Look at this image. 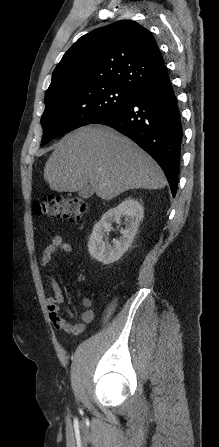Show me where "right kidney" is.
<instances>
[{
    "label": "right kidney",
    "instance_id": "ca27d5eb",
    "mask_svg": "<svg viewBox=\"0 0 219 447\" xmlns=\"http://www.w3.org/2000/svg\"><path fill=\"white\" fill-rule=\"evenodd\" d=\"M143 206L133 198H127L119 205L105 212L100 221L93 227L88 241V251L91 257L103 264L118 261L131 246L143 219ZM124 217L125 228L120 230L119 239H113L112 245L105 238L114 222L120 223ZM105 238V239H104Z\"/></svg>",
    "mask_w": 219,
    "mask_h": 447
}]
</instances>
